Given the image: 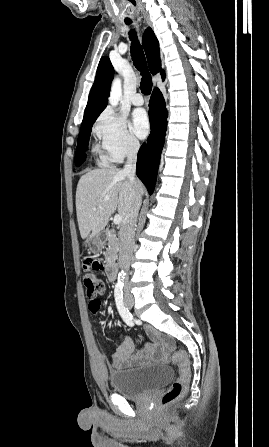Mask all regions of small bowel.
<instances>
[{"label":"small bowel","instance_id":"c3829d8e","mask_svg":"<svg viewBox=\"0 0 269 447\" xmlns=\"http://www.w3.org/2000/svg\"><path fill=\"white\" fill-rule=\"evenodd\" d=\"M145 330L152 338L153 343L144 345L138 352H134V343L131 339L125 336L121 337V344L116 349L112 359V365L115 369L131 368L145 361L162 363L168 361V350L170 348L164 346L162 339H169V332L164 331L161 334L158 330L150 326H147Z\"/></svg>","mask_w":269,"mask_h":447}]
</instances>
